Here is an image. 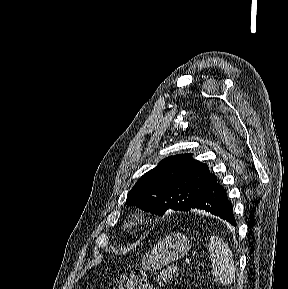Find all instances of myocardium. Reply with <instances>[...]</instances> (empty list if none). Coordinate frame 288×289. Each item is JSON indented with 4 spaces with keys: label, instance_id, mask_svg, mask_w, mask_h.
I'll return each mask as SVG.
<instances>
[{
    "label": "myocardium",
    "instance_id": "obj_1",
    "mask_svg": "<svg viewBox=\"0 0 288 289\" xmlns=\"http://www.w3.org/2000/svg\"><path fill=\"white\" fill-rule=\"evenodd\" d=\"M146 222L145 212L139 208L130 211L124 220L123 228L125 230H132L141 227Z\"/></svg>",
    "mask_w": 288,
    "mask_h": 289
}]
</instances>
